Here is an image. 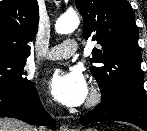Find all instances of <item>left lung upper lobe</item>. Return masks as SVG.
Segmentation results:
<instances>
[{
  "label": "left lung upper lobe",
  "mask_w": 147,
  "mask_h": 131,
  "mask_svg": "<svg viewBox=\"0 0 147 131\" xmlns=\"http://www.w3.org/2000/svg\"><path fill=\"white\" fill-rule=\"evenodd\" d=\"M83 17V37L97 41L90 70L101 89V101L122 95L146 98L140 69L138 28L126 0H75Z\"/></svg>",
  "instance_id": "1"
}]
</instances>
